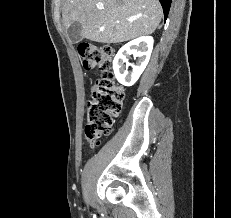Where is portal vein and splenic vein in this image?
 <instances>
[{
  "instance_id": "1",
  "label": "portal vein and splenic vein",
  "mask_w": 231,
  "mask_h": 218,
  "mask_svg": "<svg viewBox=\"0 0 231 218\" xmlns=\"http://www.w3.org/2000/svg\"><path fill=\"white\" fill-rule=\"evenodd\" d=\"M98 9H102L100 6H97Z\"/></svg>"
}]
</instances>
